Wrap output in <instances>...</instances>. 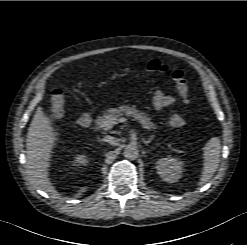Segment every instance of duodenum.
Segmentation results:
<instances>
[{"label": "duodenum", "mask_w": 247, "mask_h": 245, "mask_svg": "<svg viewBox=\"0 0 247 245\" xmlns=\"http://www.w3.org/2000/svg\"><path fill=\"white\" fill-rule=\"evenodd\" d=\"M92 122V117L89 112L82 113L77 119V125L82 128L90 126Z\"/></svg>", "instance_id": "1"}]
</instances>
